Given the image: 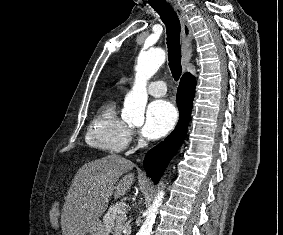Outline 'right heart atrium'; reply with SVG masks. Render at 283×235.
I'll list each match as a JSON object with an SVG mask.
<instances>
[{
  "label": "right heart atrium",
  "instance_id": "obj_1",
  "mask_svg": "<svg viewBox=\"0 0 283 235\" xmlns=\"http://www.w3.org/2000/svg\"><path fill=\"white\" fill-rule=\"evenodd\" d=\"M129 137L134 138L135 137V132L133 130L129 131Z\"/></svg>",
  "mask_w": 283,
  "mask_h": 235
}]
</instances>
